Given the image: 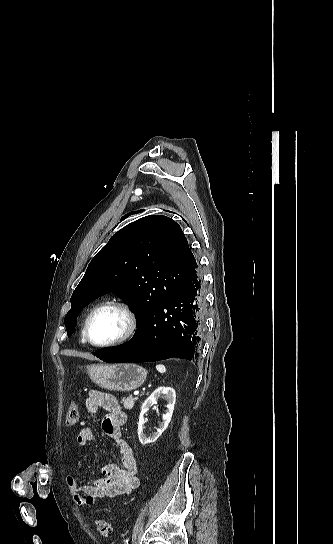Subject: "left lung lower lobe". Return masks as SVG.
I'll return each instance as SVG.
<instances>
[{"label":"left lung lower lobe","instance_id":"1","mask_svg":"<svg viewBox=\"0 0 333 544\" xmlns=\"http://www.w3.org/2000/svg\"><path fill=\"white\" fill-rule=\"evenodd\" d=\"M204 316V286L196 266L165 303L138 325L129 342L93 355L105 362H153L171 357L194 361L201 347Z\"/></svg>","mask_w":333,"mask_h":544}]
</instances>
